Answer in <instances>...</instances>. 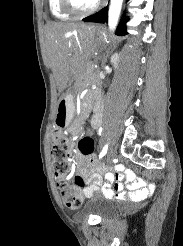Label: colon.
<instances>
[{
  "instance_id": "5ec220e1",
  "label": "colon",
  "mask_w": 183,
  "mask_h": 246,
  "mask_svg": "<svg viewBox=\"0 0 183 246\" xmlns=\"http://www.w3.org/2000/svg\"><path fill=\"white\" fill-rule=\"evenodd\" d=\"M65 118V113H59L57 127L52 131V166L64 205L69 209H78L83 201L82 190L88 185L81 176L73 174L72 166L68 160V144L61 129ZM96 137L97 134L93 130V126L89 125L88 132L77 144L78 152H82L84 157H96V152H94V138Z\"/></svg>"
}]
</instances>
